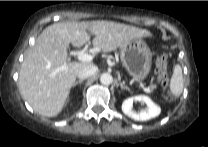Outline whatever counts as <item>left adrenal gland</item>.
I'll list each match as a JSON object with an SVG mask.
<instances>
[{
  "label": "left adrenal gland",
  "instance_id": "obj_1",
  "mask_svg": "<svg viewBox=\"0 0 208 147\" xmlns=\"http://www.w3.org/2000/svg\"><path fill=\"white\" fill-rule=\"evenodd\" d=\"M120 87H121V89H126V90H128L129 92H131L130 88L125 84L124 81L120 83Z\"/></svg>",
  "mask_w": 208,
  "mask_h": 147
}]
</instances>
